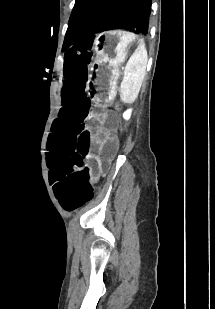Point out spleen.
Returning <instances> with one entry per match:
<instances>
[{
    "mask_svg": "<svg viewBox=\"0 0 215 309\" xmlns=\"http://www.w3.org/2000/svg\"><path fill=\"white\" fill-rule=\"evenodd\" d=\"M147 60L145 42H140L125 66L124 78L120 86V96L123 102L136 100L145 76Z\"/></svg>",
    "mask_w": 215,
    "mask_h": 309,
    "instance_id": "obj_1",
    "label": "spleen"
}]
</instances>
